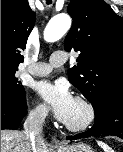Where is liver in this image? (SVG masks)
I'll return each mask as SVG.
<instances>
[{"label": "liver", "instance_id": "obj_1", "mask_svg": "<svg viewBox=\"0 0 123 152\" xmlns=\"http://www.w3.org/2000/svg\"><path fill=\"white\" fill-rule=\"evenodd\" d=\"M36 150L48 152L44 141L36 144ZM1 152H32V148L24 132L1 130Z\"/></svg>", "mask_w": 123, "mask_h": 152}]
</instances>
